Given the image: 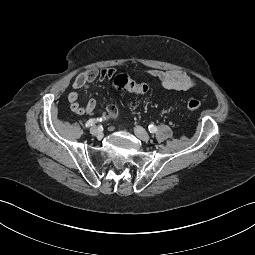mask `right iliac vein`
Returning a JSON list of instances; mask_svg holds the SVG:
<instances>
[{"label":"right iliac vein","instance_id":"63e3f726","mask_svg":"<svg viewBox=\"0 0 255 255\" xmlns=\"http://www.w3.org/2000/svg\"><path fill=\"white\" fill-rule=\"evenodd\" d=\"M90 133L93 135V136H96L98 138H102V132L100 131V129L96 126H93L91 129H90Z\"/></svg>","mask_w":255,"mask_h":255}]
</instances>
